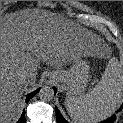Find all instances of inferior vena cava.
Wrapping results in <instances>:
<instances>
[{
	"mask_svg": "<svg viewBox=\"0 0 123 123\" xmlns=\"http://www.w3.org/2000/svg\"><path fill=\"white\" fill-rule=\"evenodd\" d=\"M21 79L28 80L30 78V74L26 71L20 74Z\"/></svg>",
	"mask_w": 123,
	"mask_h": 123,
	"instance_id": "602c4592",
	"label": "inferior vena cava"
}]
</instances>
